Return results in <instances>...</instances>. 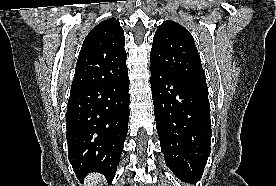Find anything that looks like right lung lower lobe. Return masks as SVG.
<instances>
[{
	"label": "right lung lower lobe",
	"mask_w": 276,
	"mask_h": 186,
	"mask_svg": "<svg viewBox=\"0 0 276 186\" xmlns=\"http://www.w3.org/2000/svg\"><path fill=\"white\" fill-rule=\"evenodd\" d=\"M128 74L118 81L71 90L66 113L68 158L76 176L100 172L111 181L127 136Z\"/></svg>",
	"instance_id": "98d812e1"
}]
</instances>
